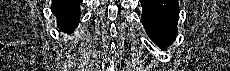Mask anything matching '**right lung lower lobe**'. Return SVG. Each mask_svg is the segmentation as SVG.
<instances>
[{
  "label": "right lung lower lobe",
  "mask_w": 230,
  "mask_h": 71,
  "mask_svg": "<svg viewBox=\"0 0 230 71\" xmlns=\"http://www.w3.org/2000/svg\"><path fill=\"white\" fill-rule=\"evenodd\" d=\"M82 0H52L51 10L57 18L58 27L72 32L79 23Z\"/></svg>",
  "instance_id": "obj_1"
}]
</instances>
